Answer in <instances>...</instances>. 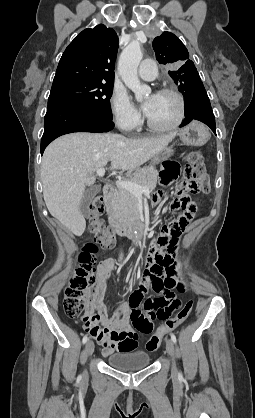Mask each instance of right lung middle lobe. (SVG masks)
Here are the masks:
<instances>
[{
  "mask_svg": "<svg viewBox=\"0 0 255 418\" xmlns=\"http://www.w3.org/2000/svg\"><path fill=\"white\" fill-rule=\"evenodd\" d=\"M113 83L68 81L52 85L48 106L71 105L83 108L105 120H112L110 98Z\"/></svg>",
  "mask_w": 255,
  "mask_h": 418,
  "instance_id": "right-lung-middle-lobe-1",
  "label": "right lung middle lobe"
}]
</instances>
